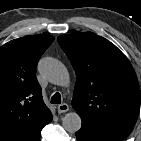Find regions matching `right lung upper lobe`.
<instances>
[{
    "instance_id": "1",
    "label": "right lung upper lobe",
    "mask_w": 141,
    "mask_h": 141,
    "mask_svg": "<svg viewBox=\"0 0 141 141\" xmlns=\"http://www.w3.org/2000/svg\"><path fill=\"white\" fill-rule=\"evenodd\" d=\"M53 41L51 35H32L0 48V141H40L42 128L51 122L35 74Z\"/></svg>"
}]
</instances>
